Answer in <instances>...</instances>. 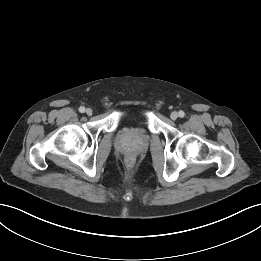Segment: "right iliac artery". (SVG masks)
<instances>
[{
	"label": "right iliac artery",
	"instance_id": "right-iliac-artery-1",
	"mask_svg": "<svg viewBox=\"0 0 261 261\" xmlns=\"http://www.w3.org/2000/svg\"><path fill=\"white\" fill-rule=\"evenodd\" d=\"M79 111H80L81 113H84V112H85V107H84V106H81V107L79 108Z\"/></svg>",
	"mask_w": 261,
	"mask_h": 261
}]
</instances>
